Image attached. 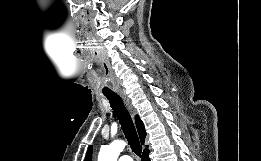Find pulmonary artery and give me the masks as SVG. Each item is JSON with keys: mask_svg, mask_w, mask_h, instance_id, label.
<instances>
[{"mask_svg": "<svg viewBox=\"0 0 261 161\" xmlns=\"http://www.w3.org/2000/svg\"><path fill=\"white\" fill-rule=\"evenodd\" d=\"M118 161H133L131 157L127 156V155H122L119 157Z\"/></svg>", "mask_w": 261, "mask_h": 161, "instance_id": "1", "label": "pulmonary artery"}]
</instances>
